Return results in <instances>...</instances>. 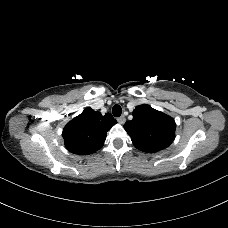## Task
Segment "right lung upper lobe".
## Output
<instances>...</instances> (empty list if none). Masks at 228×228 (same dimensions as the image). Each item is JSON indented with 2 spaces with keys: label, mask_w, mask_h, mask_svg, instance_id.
<instances>
[{
  "label": "right lung upper lobe",
  "mask_w": 228,
  "mask_h": 228,
  "mask_svg": "<svg viewBox=\"0 0 228 228\" xmlns=\"http://www.w3.org/2000/svg\"><path fill=\"white\" fill-rule=\"evenodd\" d=\"M116 123L110 113L102 115L88 107L64 127L65 146L74 154H92L103 146L107 131Z\"/></svg>",
  "instance_id": "right-lung-upper-lobe-1"
}]
</instances>
